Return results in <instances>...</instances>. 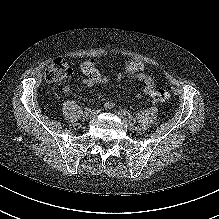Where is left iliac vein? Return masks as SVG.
<instances>
[{
    "instance_id": "obj_1",
    "label": "left iliac vein",
    "mask_w": 219,
    "mask_h": 219,
    "mask_svg": "<svg viewBox=\"0 0 219 219\" xmlns=\"http://www.w3.org/2000/svg\"><path fill=\"white\" fill-rule=\"evenodd\" d=\"M117 115L122 119V121L130 128L134 126V121L132 118L127 117L124 112L119 111Z\"/></svg>"
}]
</instances>
